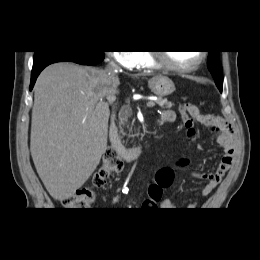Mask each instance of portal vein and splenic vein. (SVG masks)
I'll return each mask as SVG.
<instances>
[{"label":"portal vein and splenic vein","instance_id":"1","mask_svg":"<svg viewBox=\"0 0 260 260\" xmlns=\"http://www.w3.org/2000/svg\"><path fill=\"white\" fill-rule=\"evenodd\" d=\"M146 105H147V107H154L155 102L154 101H148Z\"/></svg>","mask_w":260,"mask_h":260}]
</instances>
